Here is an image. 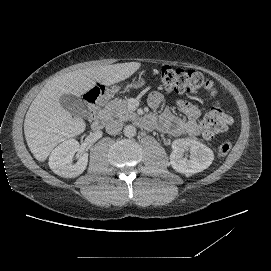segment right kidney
<instances>
[{
    "instance_id": "ca27d5eb",
    "label": "right kidney",
    "mask_w": 271,
    "mask_h": 271,
    "mask_svg": "<svg viewBox=\"0 0 271 271\" xmlns=\"http://www.w3.org/2000/svg\"><path fill=\"white\" fill-rule=\"evenodd\" d=\"M79 143L76 138H68L58 144L50 153L48 164L50 169L57 175L72 178L80 175L86 168L87 155L76 154ZM77 161L72 164V160Z\"/></svg>"
}]
</instances>
